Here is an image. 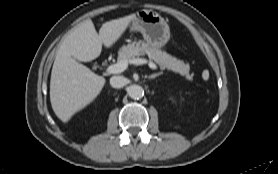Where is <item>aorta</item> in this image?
Masks as SVG:
<instances>
[{"label": "aorta", "mask_w": 278, "mask_h": 174, "mask_svg": "<svg viewBox=\"0 0 278 174\" xmlns=\"http://www.w3.org/2000/svg\"><path fill=\"white\" fill-rule=\"evenodd\" d=\"M128 95L135 100L141 99L144 96V89L139 85H131L128 88Z\"/></svg>", "instance_id": "762f6f07"}]
</instances>
